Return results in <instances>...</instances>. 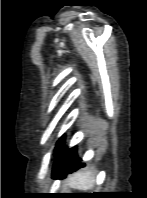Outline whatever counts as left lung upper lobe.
<instances>
[{
    "label": "left lung upper lobe",
    "instance_id": "1",
    "mask_svg": "<svg viewBox=\"0 0 147 198\" xmlns=\"http://www.w3.org/2000/svg\"><path fill=\"white\" fill-rule=\"evenodd\" d=\"M64 136H62L56 143V148L58 147V145L61 143V141L63 140Z\"/></svg>",
    "mask_w": 147,
    "mask_h": 198
}]
</instances>
